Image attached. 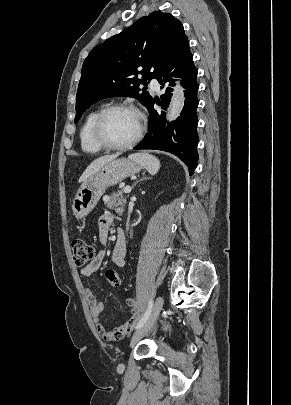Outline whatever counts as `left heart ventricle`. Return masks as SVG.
<instances>
[{
    "mask_svg": "<svg viewBox=\"0 0 291 405\" xmlns=\"http://www.w3.org/2000/svg\"><path fill=\"white\" fill-rule=\"evenodd\" d=\"M139 129V117L131 110H115L103 122L104 137L114 144H125L132 140Z\"/></svg>",
    "mask_w": 291,
    "mask_h": 405,
    "instance_id": "b2bd125f",
    "label": "left heart ventricle"
}]
</instances>
